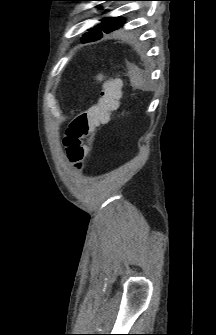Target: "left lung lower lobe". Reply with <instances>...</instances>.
<instances>
[{"label": "left lung lower lobe", "instance_id": "1", "mask_svg": "<svg viewBox=\"0 0 216 335\" xmlns=\"http://www.w3.org/2000/svg\"><path fill=\"white\" fill-rule=\"evenodd\" d=\"M100 38H101V37H98V38H96L95 40H98V39H100ZM95 40H94V41H95ZM91 41H92V40H91ZM91 41H83V40H82V42H84V43H86V42H91Z\"/></svg>", "mask_w": 216, "mask_h": 335}]
</instances>
